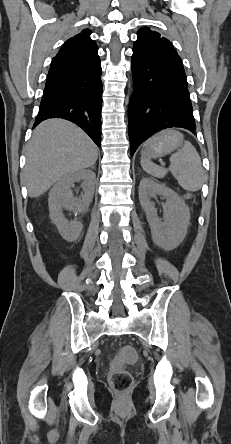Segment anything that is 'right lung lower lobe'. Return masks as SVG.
Listing matches in <instances>:
<instances>
[{"instance_id": "1", "label": "right lung lower lobe", "mask_w": 231, "mask_h": 444, "mask_svg": "<svg viewBox=\"0 0 231 444\" xmlns=\"http://www.w3.org/2000/svg\"><path fill=\"white\" fill-rule=\"evenodd\" d=\"M101 66L87 73L47 81L34 127L48 118L80 126L101 146Z\"/></svg>"}]
</instances>
